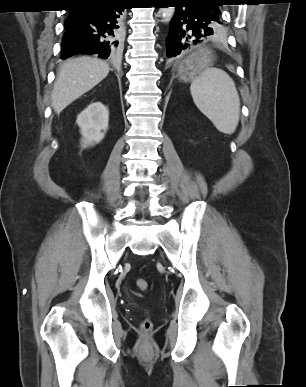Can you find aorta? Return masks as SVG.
<instances>
[{
    "mask_svg": "<svg viewBox=\"0 0 306 387\" xmlns=\"http://www.w3.org/2000/svg\"><path fill=\"white\" fill-rule=\"evenodd\" d=\"M161 16L163 21L168 22L171 20L175 13V7H162L160 9Z\"/></svg>",
    "mask_w": 306,
    "mask_h": 387,
    "instance_id": "aorta-1",
    "label": "aorta"
}]
</instances>
